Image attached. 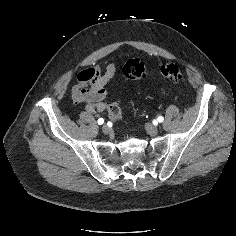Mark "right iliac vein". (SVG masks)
Returning <instances> with one entry per match:
<instances>
[{
    "label": "right iliac vein",
    "instance_id": "63e3f726",
    "mask_svg": "<svg viewBox=\"0 0 236 236\" xmlns=\"http://www.w3.org/2000/svg\"><path fill=\"white\" fill-rule=\"evenodd\" d=\"M102 131L105 134H109L111 132V129L107 125H104Z\"/></svg>",
    "mask_w": 236,
    "mask_h": 236
}]
</instances>
